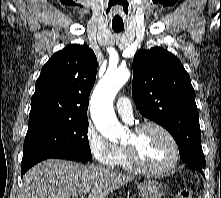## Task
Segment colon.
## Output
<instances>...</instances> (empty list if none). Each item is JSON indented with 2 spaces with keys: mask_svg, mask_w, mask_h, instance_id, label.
<instances>
[{
  "mask_svg": "<svg viewBox=\"0 0 221 198\" xmlns=\"http://www.w3.org/2000/svg\"><path fill=\"white\" fill-rule=\"evenodd\" d=\"M193 190L190 187H183L179 190L177 198H192Z\"/></svg>",
  "mask_w": 221,
  "mask_h": 198,
  "instance_id": "1",
  "label": "colon"
}]
</instances>
